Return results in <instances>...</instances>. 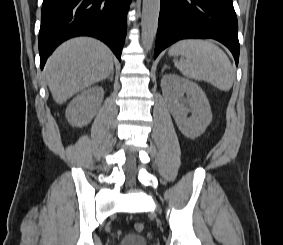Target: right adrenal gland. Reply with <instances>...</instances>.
<instances>
[{
    "instance_id": "right-adrenal-gland-1",
    "label": "right adrenal gland",
    "mask_w": 283,
    "mask_h": 245,
    "mask_svg": "<svg viewBox=\"0 0 283 245\" xmlns=\"http://www.w3.org/2000/svg\"><path fill=\"white\" fill-rule=\"evenodd\" d=\"M113 76H114V70L111 72L110 76L108 77V79H110L111 81H113Z\"/></svg>"
}]
</instances>
